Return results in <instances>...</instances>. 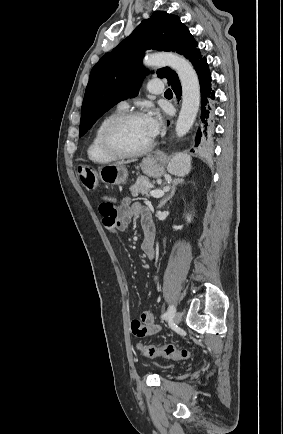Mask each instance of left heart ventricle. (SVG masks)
<instances>
[{
  "label": "left heart ventricle",
  "instance_id": "left-heart-ventricle-1",
  "mask_svg": "<svg viewBox=\"0 0 283 434\" xmlns=\"http://www.w3.org/2000/svg\"><path fill=\"white\" fill-rule=\"evenodd\" d=\"M151 140L144 117L129 121L117 133V141L120 146L130 151L145 147Z\"/></svg>",
  "mask_w": 283,
  "mask_h": 434
}]
</instances>
